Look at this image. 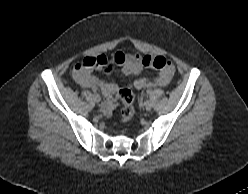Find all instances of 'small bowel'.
<instances>
[{"instance_id":"c3829d8e","label":"small bowel","mask_w":248,"mask_h":194,"mask_svg":"<svg viewBox=\"0 0 248 194\" xmlns=\"http://www.w3.org/2000/svg\"><path fill=\"white\" fill-rule=\"evenodd\" d=\"M145 57L139 54L124 53L122 51L116 52L110 59L105 55H98L96 57H86L80 61L73 70V78L83 88L91 90H100L105 96L110 97L117 90L118 85L114 81H105L93 74L94 69L104 70L107 73L112 71L114 64L119 65L121 72L125 75L139 74L143 71ZM97 63V67H86L87 63L91 61ZM158 76L150 78H140L133 82L132 87L135 89H147L167 86L174 73V68L158 69ZM112 102H107L103 105L102 111L108 115L112 109Z\"/></svg>"}]
</instances>
